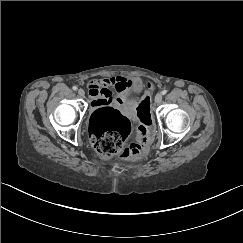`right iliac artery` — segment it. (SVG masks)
Returning a JSON list of instances; mask_svg holds the SVG:
<instances>
[{"instance_id":"82829eb1","label":"right iliac artery","mask_w":243,"mask_h":243,"mask_svg":"<svg viewBox=\"0 0 243 243\" xmlns=\"http://www.w3.org/2000/svg\"><path fill=\"white\" fill-rule=\"evenodd\" d=\"M73 90H74V91H76V90H77V87H76V86H74V87H73Z\"/></svg>"}]
</instances>
